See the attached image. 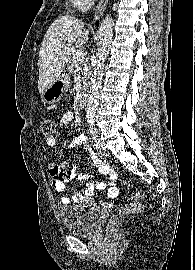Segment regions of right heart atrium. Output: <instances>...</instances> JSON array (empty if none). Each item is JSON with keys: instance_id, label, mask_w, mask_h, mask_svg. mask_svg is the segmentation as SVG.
Segmentation results:
<instances>
[{"instance_id": "right-heart-atrium-1", "label": "right heart atrium", "mask_w": 195, "mask_h": 270, "mask_svg": "<svg viewBox=\"0 0 195 270\" xmlns=\"http://www.w3.org/2000/svg\"><path fill=\"white\" fill-rule=\"evenodd\" d=\"M83 4H84V7L90 2V0H80Z\"/></svg>"}]
</instances>
